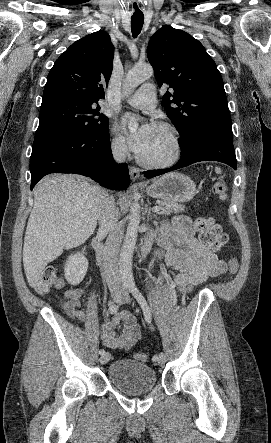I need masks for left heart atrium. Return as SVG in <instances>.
I'll list each match as a JSON object with an SVG mask.
<instances>
[{
  "label": "left heart atrium",
  "mask_w": 271,
  "mask_h": 443,
  "mask_svg": "<svg viewBox=\"0 0 271 443\" xmlns=\"http://www.w3.org/2000/svg\"><path fill=\"white\" fill-rule=\"evenodd\" d=\"M134 122H137L139 126L137 131L129 136V146L136 154L143 156L151 140L153 124L147 119L133 114H126L121 119L124 128Z\"/></svg>",
  "instance_id": "obj_1"
}]
</instances>
